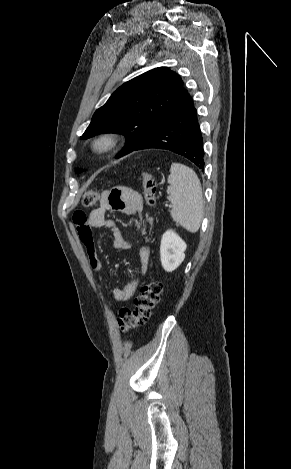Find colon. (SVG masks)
<instances>
[{
    "label": "colon",
    "mask_w": 291,
    "mask_h": 469,
    "mask_svg": "<svg viewBox=\"0 0 291 469\" xmlns=\"http://www.w3.org/2000/svg\"><path fill=\"white\" fill-rule=\"evenodd\" d=\"M142 192L146 204L152 207L155 204L156 183L153 177L144 172L141 177ZM100 199L96 189H88L82 197L84 207L95 206ZM82 234H86L84 229ZM162 285L158 281H149L142 285L139 295L135 299L134 309L123 308L117 316V325L121 333H126L136 327L144 325L150 318L155 306L160 300Z\"/></svg>",
    "instance_id": "1"
}]
</instances>
